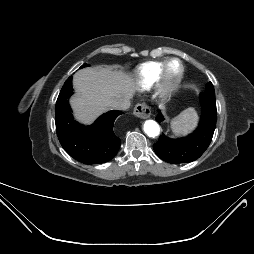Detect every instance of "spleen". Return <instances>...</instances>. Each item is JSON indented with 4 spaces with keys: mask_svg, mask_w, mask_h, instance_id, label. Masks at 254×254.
<instances>
[{
    "mask_svg": "<svg viewBox=\"0 0 254 254\" xmlns=\"http://www.w3.org/2000/svg\"><path fill=\"white\" fill-rule=\"evenodd\" d=\"M198 115L194 108H187L172 119L171 129L176 136H185L197 126Z\"/></svg>",
    "mask_w": 254,
    "mask_h": 254,
    "instance_id": "spleen-1",
    "label": "spleen"
}]
</instances>
